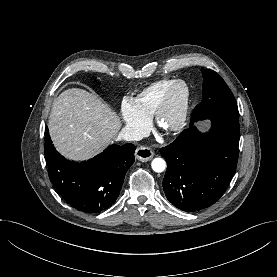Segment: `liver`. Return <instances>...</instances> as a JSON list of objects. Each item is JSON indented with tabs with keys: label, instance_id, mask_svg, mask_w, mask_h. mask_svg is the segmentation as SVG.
I'll return each instance as SVG.
<instances>
[{
	"label": "liver",
	"instance_id": "obj_1",
	"mask_svg": "<svg viewBox=\"0 0 277 277\" xmlns=\"http://www.w3.org/2000/svg\"><path fill=\"white\" fill-rule=\"evenodd\" d=\"M121 122L95 94L72 88L53 102L48 128L56 149L83 161L101 152L115 138Z\"/></svg>",
	"mask_w": 277,
	"mask_h": 277
}]
</instances>
